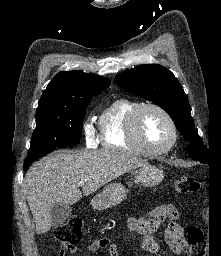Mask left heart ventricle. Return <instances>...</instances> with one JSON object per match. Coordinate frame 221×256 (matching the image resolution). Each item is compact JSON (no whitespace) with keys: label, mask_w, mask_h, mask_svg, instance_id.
I'll use <instances>...</instances> for the list:
<instances>
[{"label":"left heart ventricle","mask_w":221,"mask_h":256,"mask_svg":"<svg viewBox=\"0 0 221 256\" xmlns=\"http://www.w3.org/2000/svg\"><path fill=\"white\" fill-rule=\"evenodd\" d=\"M140 130L144 141L151 148H162L171 140L168 121L155 109H146L143 112Z\"/></svg>","instance_id":"obj_1"}]
</instances>
